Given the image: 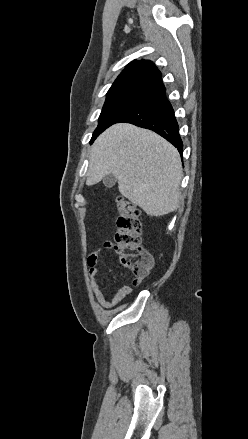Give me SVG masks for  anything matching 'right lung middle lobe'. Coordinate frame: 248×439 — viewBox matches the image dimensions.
<instances>
[{"label": "right lung middle lobe", "mask_w": 248, "mask_h": 439, "mask_svg": "<svg viewBox=\"0 0 248 439\" xmlns=\"http://www.w3.org/2000/svg\"><path fill=\"white\" fill-rule=\"evenodd\" d=\"M150 99L149 96L139 94H116L107 96L102 112L99 116L98 127L93 133L91 143L96 137L112 124L139 108Z\"/></svg>", "instance_id": "right-lung-middle-lobe-1"}]
</instances>
